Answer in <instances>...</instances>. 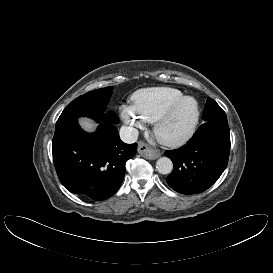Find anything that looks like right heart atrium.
I'll use <instances>...</instances> for the list:
<instances>
[{
	"instance_id": "right-heart-atrium-1",
	"label": "right heart atrium",
	"mask_w": 273,
	"mask_h": 273,
	"mask_svg": "<svg viewBox=\"0 0 273 273\" xmlns=\"http://www.w3.org/2000/svg\"><path fill=\"white\" fill-rule=\"evenodd\" d=\"M119 112L121 119L128 126L131 135H135L138 130L145 127L146 121L137 112L133 105H121Z\"/></svg>"
}]
</instances>
